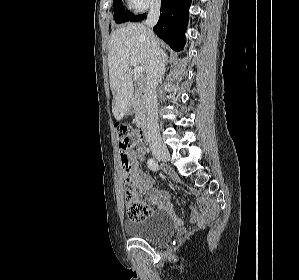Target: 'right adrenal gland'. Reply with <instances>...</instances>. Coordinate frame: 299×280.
I'll use <instances>...</instances> for the list:
<instances>
[{"label":"right adrenal gland","mask_w":299,"mask_h":280,"mask_svg":"<svg viewBox=\"0 0 299 280\" xmlns=\"http://www.w3.org/2000/svg\"><path fill=\"white\" fill-rule=\"evenodd\" d=\"M165 58L167 59V58H168V56H167V55H165Z\"/></svg>","instance_id":"1"}]
</instances>
